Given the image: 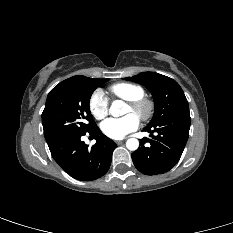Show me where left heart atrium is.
<instances>
[{
  "label": "left heart atrium",
  "mask_w": 233,
  "mask_h": 233,
  "mask_svg": "<svg viewBox=\"0 0 233 233\" xmlns=\"http://www.w3.org/2000/svg\"><path fill=\"white\" fill-rule=\"evenodd\" d=\"M139 127V119L134 114L122 118H110L101 124L103 134L111 139H122Z\"/></svg>",
  "instance_id": "1"
}]
</instances>
